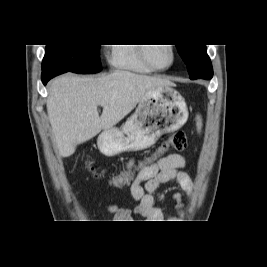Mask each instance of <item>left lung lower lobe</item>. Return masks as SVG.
Wrapping results in <instances>:
<instances>
[{
  "label": "left lung lower lobe",
  "mask_w": 267,
  "mask_h": 267,
  "mask_svg": "<svg viewBox=\"0 0 267 267\" xmlns=\"http://www.w3.org/2000/svg\"><path fill=\"white\" fill-rule=\"evenodd\" d=\"M212 76H213V74H206V75H203V76L201 77V79L209 80V79L212 78Z\"/></svg>",
  "instance_id": "0a47b994"
}]
</instances>
